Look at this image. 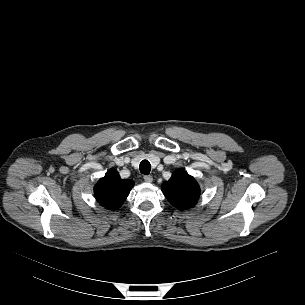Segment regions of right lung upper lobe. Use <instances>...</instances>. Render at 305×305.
<instances>
[{
  "label": "right lung upper lobe",
  "instance_id": "1",
  "mask_svg": "<svg viewBox=\"0 0 305 305\" xmlns=\"http://www.w3.org/2000/svg\"><path fill=\"white\" fill-rule=\"evenodd\" d=\"M133 185L132 180L121 179L116 170H110L105 177L97 182L94 194L101 205L115 210L123 204Z\"/></svg>",
  "mask_w": 305,
  "mask_h": 305
}]
</instances>
